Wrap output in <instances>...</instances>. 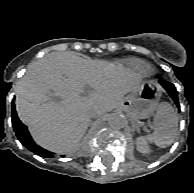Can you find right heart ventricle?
Here are the masks:
<instances>
[{
  "mask_svg": "<svg viewBox=\"0 0 194 193\" xmlns=\"http://www.w3.org/2000/svg\"><path fill=\"white\" fill-rule=\"evenodd\" d=\"M128 70L135 76L142 77L150 72V65L139 59H128L125 61Z\"/></svg>",
  "mask_w": 194,
  "mask_h": 193,
  "instance_id": "1",
  "label": "right heart ventricle"
}]
</instances>
